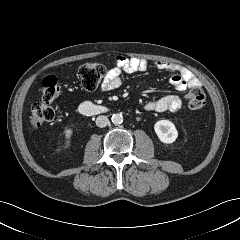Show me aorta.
Segmentation results:
<instances>
[{"label": "aorta", "instance_id": "aorta-1", "mask_svg": "<svg viewBox=\"0 0 240 240\" xmlns=\"http://www.w3.org/2000/svg\"><path fill=\"white\" fill-rule=\"evenodd\" d=\"M111 121L115 125H119L123 122V116L120 113L113 114L111 117Z\"/></svg>", "mask_w": 240, "mask_h": 240}]
</instances>
